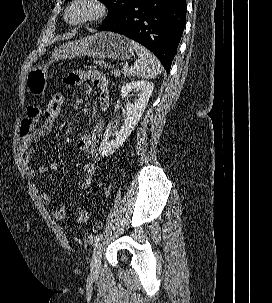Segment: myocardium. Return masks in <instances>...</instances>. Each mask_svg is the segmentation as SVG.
Returning a JSON list of instances; mask_svg holds the SVG:
<instances>
[{"label": "myocardium", "mask_w": 272, "mask_h": 303, "mask_svg": "<svg viewBox=\"0 0 272 303\" xmlns=\"http://www.w3.org/2000/svg\"><path fill=\"white\" fill-rule=\"evenodd\" d=\"M78 5H87L91 10L86 16L79 19H73L71 17L72 10ZM107 13L108 7L103 0H71L65 10L64 18L68 24L79 26L98 22L104 19Z\"/></svg>", "instance_id": "1"}]
</instances>
